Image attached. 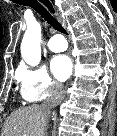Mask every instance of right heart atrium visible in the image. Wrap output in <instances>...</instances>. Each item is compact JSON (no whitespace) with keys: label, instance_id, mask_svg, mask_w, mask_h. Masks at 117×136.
I'll use <instances>...</instances> for the list:
<instances>
[{"label":"right heart atrium","instance_id":"d8ad5b80","mask_svg":"<svg viewBox=\"0 0 117 136\" xmlns=\"http://www.w3.org/2000/svg\"><path fill=\"white\" fill-rule=\"evenodd\" d=\"M22 98L28 103H34L49 97L61 96V84L56 82L45 66H22L17 72Z\"/></svg>","mask_w":117,"mask_h":136}]
</instances>
